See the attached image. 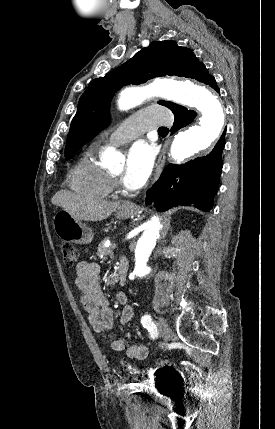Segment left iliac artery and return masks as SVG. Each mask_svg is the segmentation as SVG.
<instances>
[{"label":"left iliac artery","instance_id":"1","mask_svg":"<svg viewBox=\"0 0 275 429\" xmlns=\"http://www.w3.org/2000/svg\"><path fill=\"white\" fill-rule=\"evenodd\" d=\"M141 323L144 327H148L152 324V318L150 315H144L141 319Z\"/></svg>","mask_w":275,"mask_h":429}]
</instances>
